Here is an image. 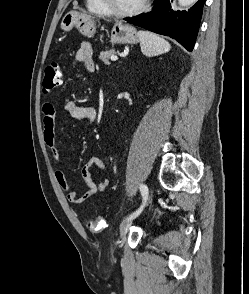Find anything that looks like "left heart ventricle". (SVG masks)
I'll return each mask as SVG.
<instances>
[{
  "label": "left heart ventricle",
  "mask_w": 249,
  "mask_h": 294,
  "mask_svg": "<svg viewBox=\"0 0 249 294\" xmlns=\"http://www.w3.org/2000/svg\"><path fill=\"white\" fill-rule=\"evenodd\" d=\"M111 5L120 11H127L136 8L143 0H109Z\"/></svg>",
  "instance_id": "b2bd125f"
}]
</instances>
